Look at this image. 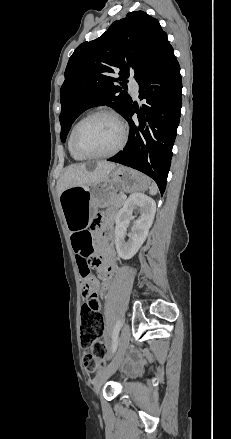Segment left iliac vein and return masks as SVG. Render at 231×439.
<instances>
[{
    "instance_id": "1",
    "label": "left iliac vein",
    "mask_w": 231,
    "mask_h": 439,
    "mask_svg": "<svg viewBox=\"0 0 231 439\" xmlns=\"http://www.w3.org/2000/svg\"><path fill=\"white\" fill-rule=\"evenodd\" d=\"M131 337V331L128 324H125L123 327V330L121 332V336L119 339V350L113 361L100 373H98L95 377L94 381V392L96 395L99 394L102 385L104 382L115 373V371L119 368L121 365L124 356L126 354L129 342Z\"/></svg>"
}]
</instances>
